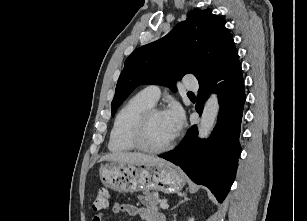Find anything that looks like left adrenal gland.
Here are the masks:
<instances>
[{
  "label": "left adrenal gland",
  "instance_id": "obj_1",
  "mask_svg": "<svg viewBox=\"0 0 307 221\" xmlns=\"http://www.w3.org/2000/svg\"><path fill=\"white\" fill-rule=\"evenodd\" d=\"M188 200H190V199L187 197V195H186V194H183V199L180 200V201L178 202V204L175 205V206L172 208V210H174V209H175L176 207H178L180 204H182V203H184V202H186V201H188Z\"/></svg>",
  "mask_w": 307,
  "mask_h": 221
}]
</instances>
